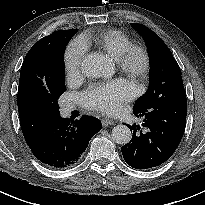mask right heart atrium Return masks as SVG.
<instances>
[{
    "instance_id": "obj_1",
    "label": "right heart atrium",
    "mask_w": 205,
    "mask_h": 205,
    "mask_svg": "<svg viewBox=\"0 0 205 205\" xmlns=\"http://www.w3.org/2000/svg\"><path fill=\"white\" fill-rule=\"evenodd\" d=\"M85 53L86 47L81 39L75 38L68 44L64 53V64L70 77L79 75Z\"/></svg>"
}]
</instances>
